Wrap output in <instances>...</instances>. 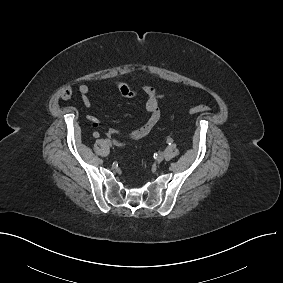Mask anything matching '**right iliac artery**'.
<instances>
[{
	"label": "right iliac artery",
	"instance_id": "82829eb1",
	"mask_svg": "<svg viewBox=\"0 0 283 283\" xmlns=\"http://www.w3.org/2000/svg\"><path fill=\"white\" fill-rule=\"evenodd\" d=\"M94 136L97 137V138H100L99 132H98V131H95V132H94Z\"/></svg>",
	"mask_w": 283,
	"mask_h": 283
}]
</instances>
